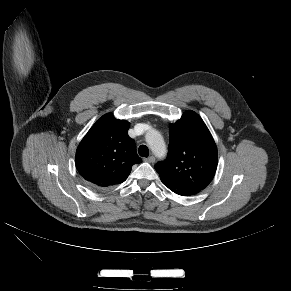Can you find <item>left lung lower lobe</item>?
Listing matches in <instances>:
<instances>
[{"instance_id":"1","label":"left lung lower lobe","mask_w":291,"mask_h":291,"mask_svg":"<svg viewBox=\"0 0 291 291\" xmlns=\"http://www.w3.org/2000/svg\"><path fill=\"white\" fill-rule=\"evenodd\" d=\"M161 180L166 187H168L171 191H173L174 193L178 195L190 196V195H194L198 193L194 191L193 189L187 188L181 184L172 182L170 180H166V179H161Z\"/></svg>"}]
</instances>
